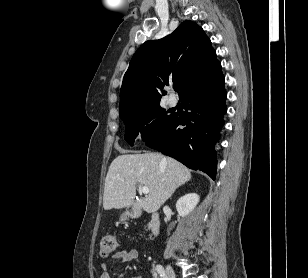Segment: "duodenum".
<instances>
[{
  "mask_svg": "<svg viewBox=\"0 0 308 278\" xmlns=\"http://www.w3.org/2000/svg\"><path fill=\"white\" fill-rule=\"evenodd\" d=\"M160 225H161V221H160L159 214L157 212H152L150 215V221H149V230L152 235L154 236L158 235L160 231Z\"/></svg>",
  "mask_w": 308,
  "mask_h": 278,
  "instance_id": "1",
  "label": "duodenum"
}]
</instances>
